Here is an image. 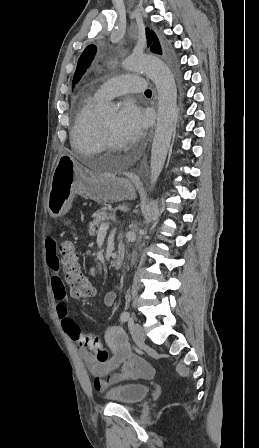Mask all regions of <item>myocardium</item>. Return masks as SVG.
Wrapping results in <instances>:
<instances>
[{
    "instance_id": "1",
    "label": "myocardium",
    "mask_w": 259,
    "mask_h": 448,
    "mask_svg": "<svg viewBox=\"0 0 259 448\" xmlns=\"http://www.w3.org/2000/svg\"><path fill=\"white\" fill-rule=\"evenodd\" d=\"M98 126H99L100 139H101V142H102V145H103V150H99V151H97L95 153L96 154H100V153H103L105 151H115V150L119 149V146L116 145L112 141V139H111V137H110L106 127L104 126V124L102 123L101 120L98 121ZM77 153H78V157H79V162H82V163L87 162L86 161L87 154H82V153H79V152H77Z\"/></svg>"
}]
</instances>
